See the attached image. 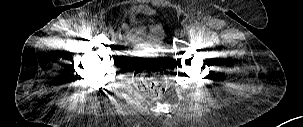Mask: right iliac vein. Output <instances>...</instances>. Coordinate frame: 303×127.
<instances>
[{
    "label": "right iliac vein",
    "instance_id": "63e3f726",
    "mask_svg": "<svg viewBox=\"0 0 303 127\" xmlns=\"http://www.w3.org/2000/svg\"><path fill=\"white\" fill-rule=\"evenodd\" d=\"M98 27L105 29V26L103 23H98Z\"/></svg>",
    "mask_w": 303,
    "mask_h": 127
}]
</instances>
